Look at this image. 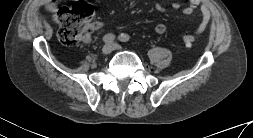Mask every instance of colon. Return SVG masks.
<instances>
[{
  "label": "colon",
  "instance_id": "colon-1",
  "mask_svg": "<svg viewBox=\"0 0 253 138\" xmlns=\"http://www.w3.org/2000/svg\"><path fill=\"white\" fill-rule=\"evenodd\" d=\"M93 8L86 2H77L70 7H62L54 11V18L59 24L58 37L66 46H74L87 42L90 31L93 29L91 19ZM198 34H185L183 42L186 45L194 44Z\"/></svg>",
  "mask_w": 253,
  "mask_h": 138
}]
</instances>
